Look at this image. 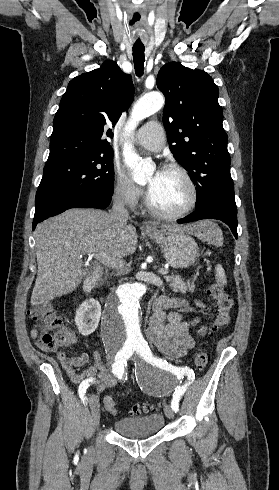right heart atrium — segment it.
Returning a JSON list of instances; mask_svg holds the SVG:
<instances>
[{
  "mask_svg": "<svg viewBox=\"0 0 279 490\" xmlns=\"http://www.w3.org/2000/svg\"><path fill=\"white\" fill-rule=\"evenodd\" d=\"M112 177L115 197L130 208H136L143 197L142 189L119 166H114Z\"/></svg>",
  "mask_w": 279,
  "mask_h": 490,
  "instance_id": "right-heart-atrium-1",
  "label": "right heart atrium"
}]
</instances>
